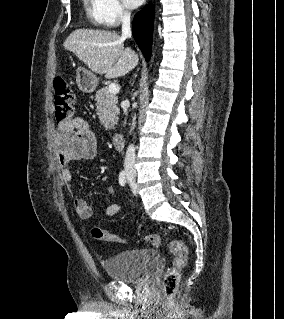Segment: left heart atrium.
<instances>
[{
  "instance_id": "obj_1",
  "label": "left heart atrium",
  "mask_w": 284,
  "mask_h": 319,
  "mask_svg": "<svg viewBox=\"0 0 284 319\" xmlns=\"http://www.w3.org/2000/svg\"><path fill=\"white\" fill-rule=\"evenodd\" d=\"M123 2L128 8L134 9L140 6L144 0H123Z\"/></svg>"
}]
</instances>
